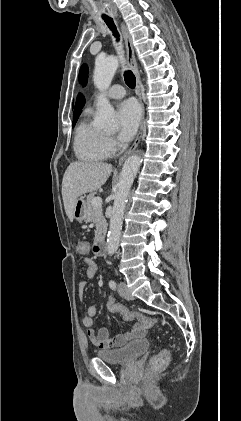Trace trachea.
Instances as JSON below:
<instances>
[{"label":"trachea","mask_w":241,"mask_h":421,"mask_svg":"<svg viewBox=\"0 0 241 421\" xmlns=\"http://www.w3.org/2000/svg\"><path fill=\"white\" fill-rule=\"evenodd\" d=\"M105 23L107 24V26L109 27V29L113 32V35L117 38V40H119V33L116 29V26L113 22L112 19H105L104 20ZM124 79H125V83L127 84L128 87L130 88H134L136 85V79L134 74L132 73V71L128 70L124 72Z\"/></svg>","instance_id":"trachea-1"}]
</instances>
